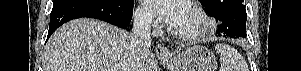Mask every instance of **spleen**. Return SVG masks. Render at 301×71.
Segmentation results:
<instances>
[{
    "mask_svg": "<svg viewBox=\"0 0 301 71\" xmlns=\"http://www.w3.org/2000/svg\"><path fill=\"white\" fill-rule=\"evenodd\" d=\"M216 53L220 56V71H249L243 56L228 44H216Z\"/></svg>",
    "mask_w": 301,
    "mask_h": 71,
    "instance_id": "1",
    "label": "spleen"
}]
</instances>
